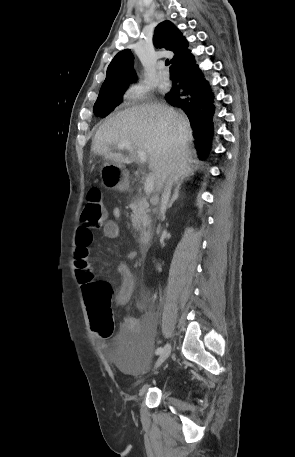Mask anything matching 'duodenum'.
I'll return each instance as SVG.
<instances>
[{"label":"duodenum","mask_w":295,"mask_h":457,"mask_svg":"<svg viewBox=\"0 0 295 457\" xmlns=\"http://www.w3.org/2000/svg\"><path fill=\"white\" fill-rule=\"evenodd\" d=\"M152 241L151 231H143L140 236V250L142 254H146L150 248Z\"/></svg>","instance_id":"1"}]
</instances>
